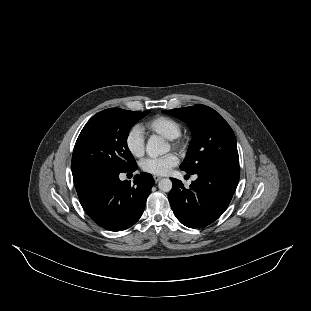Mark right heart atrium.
I'll use <instances>...</instances> for the list:
<instances>
[{
  "instance_id": "obj_1",
  "label": "right heart atrium",
  "mask_w": 311,
  "mask_h": 311,
  "mask_svg": "<svg viewBox=\"0 0 311 311\" xmlns=\"http://www.w3.org/2000/svg\"><path fill=\"white\" fill-rule=\"evenodd\" d=\"M125 148L134 158H141L145 152L144 132L139 125L129 128L124 138Z\"/></svg>"
}]
</instances>
